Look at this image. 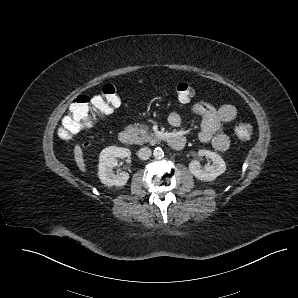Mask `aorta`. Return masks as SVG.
Returning <instances> with one entry per match:
<instances>
[{
	"label": "aorta",
	"instance_id": "1",
	"mask_svg": "<svg viewBox=\"0 0 298 298\" xmlns=\"http://www.w3.org/2000/svg\"><path fill=\"white\" fill-rule=\"evenodd\" d=\"M153 155L156 158H162L164 156V151L161 147H156L153 151Z\"/></svg>",
	"mask_w": 298,
	"mask_h": 298
}]
</instances>
